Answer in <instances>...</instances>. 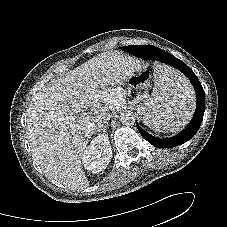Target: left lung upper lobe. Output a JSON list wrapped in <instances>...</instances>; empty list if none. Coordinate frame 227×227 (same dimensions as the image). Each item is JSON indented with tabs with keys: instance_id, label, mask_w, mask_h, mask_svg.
<instances>
[{
	"instance_id": "1",
	"label": "left lung upper lobe",
	"mask_w": 227,
	"mask_h": 227,
	"mask_svg": "<svg viewBox=\"0 0 227 227\" xmlns=\"http://www.w3.org/2000/svg\"><path fill=\"white\" fill-rule=\"evenodd\" d=\"M130 47H132V46H124V47H122L121 49L127 52V50H128Z\"/></svg>"
}]
</instances>
